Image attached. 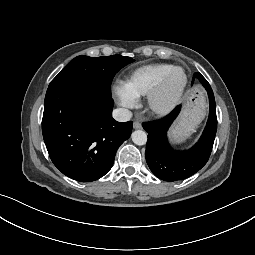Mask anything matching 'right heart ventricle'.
Returning <instances> with one entry per match:
<instances>
[{
	"label": "right heart ventricle",
	"mask_w": 255,
	"mask_h": 255,
	"mask_svg": "<svg viewBox=\"0 0 255 255\" xmlns=\"http://www.w3.org/2000/svg\"><path fill=\"white\" fill-rule=\"evenodd\" d=\"M173 68L175 66L171 64L142 66L132 72L127 81V85L137 96L148 95Z\"/></svg>",
	"instance_id": "e07e8e85"
}]
</instances>
